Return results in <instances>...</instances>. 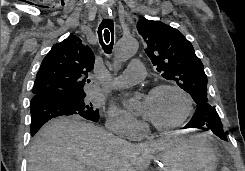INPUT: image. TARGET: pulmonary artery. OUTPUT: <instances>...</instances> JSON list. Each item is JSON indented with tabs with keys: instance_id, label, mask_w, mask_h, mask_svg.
I'll list each match as a JSON object with an SVG mask.
<instances>
[{
	"instance_id": "pulmonary-artery-1",
	"label": "pulmonary artery",
	"mask_w": 245,
	"mask_h": 171,
	"mask_svg": "<svg viewBox=\"0 0 245 171\" xmlns=\"http://www.w3.org/2000/svg\"><path fill=\"white\" fill-rule=\"evenodd\" d=\"M144 76L145 69L143 64L137 59L132 60L127 70L123 74L113 78V80L110 83V89H120L128 87L134 84L135 82L143 79ZM95 91L102 92L103 89H96Z\"/></svg>"
}]
</instances>
